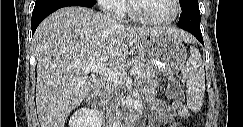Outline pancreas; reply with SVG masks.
I'll return each instance as SVG.
<instances>
[{
	"mask_svg": "<svg viewBox=\"0 0 243 127\" xmlns=\"http://www.w3.org/2000/svg\"><path fill=\"white\" fill-rule=\"evenodd\" d=\"M133 65H134V68H138L140 70V74L138 75V77L140 79H142V80H154L155 79L154 73L150 70V68L148 66L145 65L144 62H142L140 60H134ZM118 85H122L121 80L114 81L112 88L105 92V97H104L105 103H108L111 100L112 94H113V92L116 93V88L118 87Z\"/></svg>",
	"mask_w": 243,
	"mask_h": 127,
	"instance_id": "1",
	"label": "pancreas"
}]
</instances>
